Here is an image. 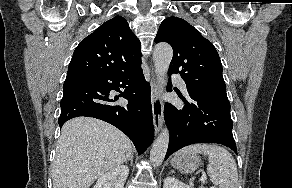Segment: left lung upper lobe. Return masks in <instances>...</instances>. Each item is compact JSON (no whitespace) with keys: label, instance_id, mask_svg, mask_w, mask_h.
Listing matches in <instances>:
<instances>
[{"label":"left lung upper lobe","instance_id":"left-lung-upper-lobe-1","mask_svg":"<svg viewBox=\"0 0 292 188\" xmlns=\"http://www.w3.org/2000/svg\"><path fill=\"white\" fill-rule=\"evenodd\" d=\"M161 41L173 48L169 74L179 73L188 91L227 98L219 55L199 31L181 18L168 17L155 38L156 43Z\"/></svg>","mask_w":292,"mask_h":188}]
</instances>
